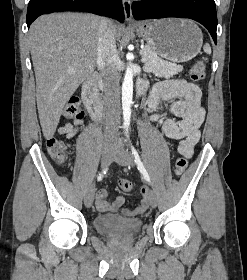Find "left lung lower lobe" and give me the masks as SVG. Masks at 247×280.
Instances as JSON below:
<instances>
[{"mask_svg":"<svg viewBox=\"0 0 247 280\" xmlns=\"http://www.w3.org/2000/svg\"><path fill=\"white\" fill-rule=\"evenodd\" d=\"M135 19L179 17L193 19L207 28L217 43V14L214 0H143L133 2Z\"/></svg>","mask_w":247,"mask_h":280,"instance_id":"0a47b994","label":"left lung lower lobe"}]
</instances>
